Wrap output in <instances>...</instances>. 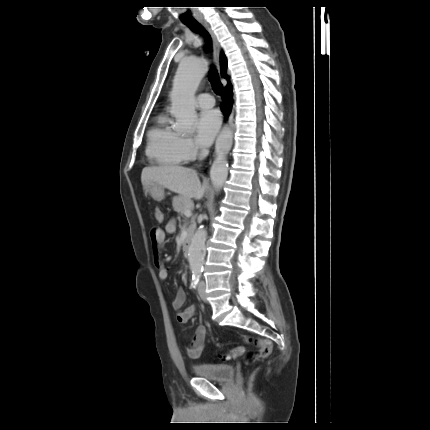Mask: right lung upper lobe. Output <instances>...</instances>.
I'll return each mask as SVG.
<instances>
[{
	"instance_id": "right-lung-upper-lobe-1",
	"label": "right lung upper lobe",
	"mask_w": 430,
	"mask_h": 430,
	"mask_svg": "<svg viewBox=\"0 0 430 430\" xmlns=\"http://www.w3.org/2000/svg\"><path fill=\"white\" fill-rule=\"evenodd\" d=\"M220 62H221L222 77L227 78V60H226L224 53H221Z\"/></svg>"
}]
</instances>
